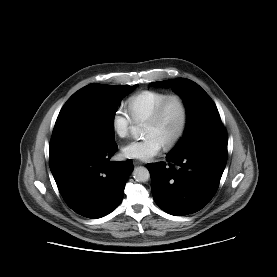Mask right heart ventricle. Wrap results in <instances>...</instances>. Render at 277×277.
<instances>
[{
  "mask_svg": "<svg viewBox=\"0 0 277 277\" xmlns=\"http://www.w3.org/2000/svg\"><path fill=\"white\" fill-rule=\"evenodd\" d=\"M168 95L166 92L156 90H144L136 93L127 101L128 112L135 122L146 121Z\"/></svg>",
  "mask_w": 277,
  "mask_h": 277,
  "instance_id": "1",
  "label": "right heart ventricle"
}]
</instances>
